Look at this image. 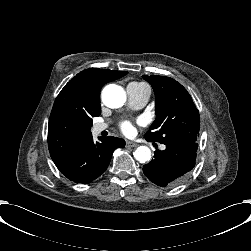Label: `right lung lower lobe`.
<instances>
[{
	"label": "right lung lower lobe",
	"mask_w": 251,
	"mask_h": 251,
	"mask_svg": "<svg viewBox=\"0 0 251 251\" xmlns=\"http://www.w3.org/2000/svg\"><path fill=\"white\" fill-rule=\"evenodd\" d=\"M100 140L95 143L90 136L72 152L55 160L56 167L75 183L92 182L105 172L113 151L125 146V141L117 137H101Z\"/></svg>",
	"instance_id": "1"
}]
</instances>
